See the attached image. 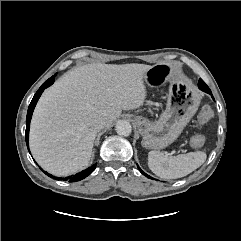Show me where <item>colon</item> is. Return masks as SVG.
<instances>
[{
  "label": "colon",
  "instance_id": "1",
  "mask_svg": "<svg viewBox=\"0 0 241 241\" xmlns=\"http://www.w3.org/2000/svg\"><path fill=\"white\" fill-rule=\"evenodd\" d=\"M213 117V111L209 106H204L198 114V122L201 126L206 125ZM205 143V137L196 135L191 139V145L194 147H201Z\"/></svg>",
  "mask_w": 241,
  "mask_h": 241
}]
</instances>
